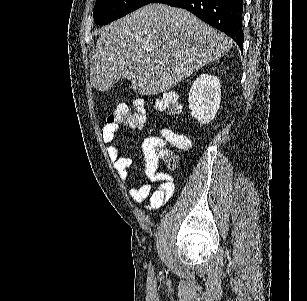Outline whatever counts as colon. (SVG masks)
<instances>
[{
	"label": "colon",
	"instance_id": "obj_1",
	"mask_svg": "<svg viewBox=\"0 0 307 301\" xmlns=\"http://www.w3.org/2000/svg\"><path fill=\"white\" fill-rule=\"evenodd\" d=\"M154 108L165 114H176L180 112L181 105L175 92H164L154 100ZM147 121L145 105L142 101L135 102L134 111L129 113L127 106L119 105L107 117V123L111 125L125 124L133 129H142ZM164 145L157 150L158 156L164 161L169 170H176L180 163V158L176 152L165 148L166 143L172 146L185 149L191 144L189 137L184 134L165 130L162 136Z\"/></svg>",
	"mask_w": 307,
	"mask_h": 301
}]
</instances>
